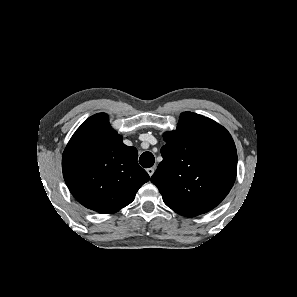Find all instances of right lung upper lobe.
Wrapping results in <instances>:
<instances>
[{"label":"right lung upper lobe","instance_id":"cb5924a9","mask_svg":"<svg viewBox=\"0 0 297 297\" xmlns=\"http://www.w3.org/2000/svg\"><path fill=\"white\" fill-rule=\"evenodd\" d=\"M138 152L122 143L105 113L89 117L74 133L62 157L64 180L75 199L98 213L130 204L149 175Z\"/></svg>","mask_w":297,"mask_h":297}]
</instances>
